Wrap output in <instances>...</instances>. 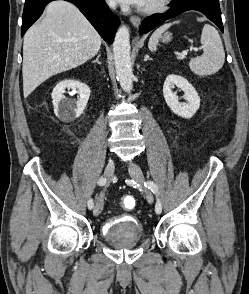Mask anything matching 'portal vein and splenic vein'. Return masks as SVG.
I'll use <instances>...</instances> for the list:
<instances>
[{
	"label": "portal vein and splenic vein",
	"instance_id": "obj_1",
	"mask_svg": "<svg viewBox=\"0 0 249 294\" xmlns=\"http://www.w3.org/2000/svg\"><path fill=\"white\" fill-rule=\"evenodd\" d=\"M194 51H197L196 49H193ZM187 55V51L182 52V56L185 57Z\"/></svg>",
	"mask_w": 249,
	"mask_h": 294
}]
</instances>
